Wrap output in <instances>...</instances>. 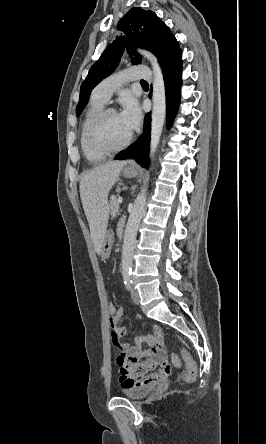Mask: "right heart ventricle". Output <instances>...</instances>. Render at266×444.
Here are the masks:
<instances>
[{"label":"right heart ventricle","instance_id":"e07e8e85","mask_svg":"<svg viewBox=\"0 0 266 444\" xmlns=\"http://www.w3.org/2000/svg\"><path fill=\"white\" fill-rule=\"evenodd\" d=\"M104 104L105 102H103L102 100L96 98L95 96L92 97L89 107L86 110V113L84 115L83 118V122H82V126H81V131H80V145H81V149L83 151V154L85 155V157L88 160L91 161H100L106 158V154H100V153H96L92 150L89 149V147L87 146L86 143V130L87 127L90 123V121L92 120V118L100 111L104 108Z\"/></svg>","mask_w":266,"mask_h":444}]
</instances>
